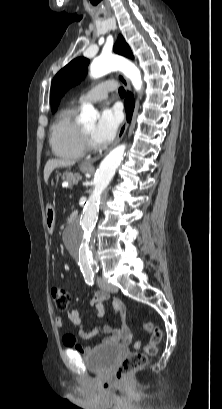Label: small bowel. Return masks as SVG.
Here are the masks:
<instances>
[{"label": "small bowel", "instance_id": "c3829d8e", "mask_svg": "<svg viewBox=\"0 0 222 409\" xmlns=\"http://www.w3.org/2000/svg\"><path fill=\"white\" fill-rule=\"evenodd\" d=\"M110 301V305L113 309L114 314L119 319V326L116 328H111L109 326H95L91 331H86L84 329V321L81 316L79 310L73 309L68 312L69 320L78 327V336L82 340H88L92 337L96 336L97 334H108L104 337L99 345H106V344H117L121 343L124 346H129L132 343L133 336L130 331L129 325L127 323L126 311L124 303L116 297L111 298L108 293L104 291H98L94 294V296L89 301V306L96 311V316L101 318L104 316L105 313V305ZM56 325L59 328L63 327L61 317L57 316L55 318ZM64 343L70 347L75 349L80 353H86L90 349L81 345L74 336H67ZM141 343L136 342L135 347H140Z\"/></svg>", "mask_w": 222, "mask_h": 409}]
</instances>
